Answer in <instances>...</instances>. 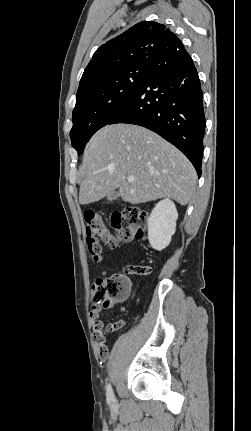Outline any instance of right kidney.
<instances>
[{"label": "right kidney", "instance_id": "right-kidney-1", "mask_svg": "<svg viewBox=\"0 0 251 431\" xmlns=\"http://www.w3.org/2000/svg\"><path fill=\"white\" fill-rule=\"evenodd\" d=\"M177 218L176 206L169 198L155 205L147 220L148 240L152 248L161 251L170 244Z\"/></svg>", "mask_w": 251, "mask_h": 431}]
</instances>
